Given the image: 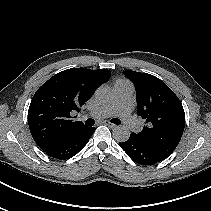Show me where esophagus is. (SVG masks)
<instances>
[{"instance_id":"34e87169","label":"esophagus","mask_w":211,"mask_h":211,"mask_svg":"<svg viewBox=\"0 0 211 211\" xmlns=\"http://www.w3.org/2000/svg\"><path fill=\"white\" fill-rule=\"evenodd\" d=\"M104 124L106 126H108L109 128H112V129L116 128V125L111 123V122H109V121H104Z\"/></svg>"}]
</instances>
